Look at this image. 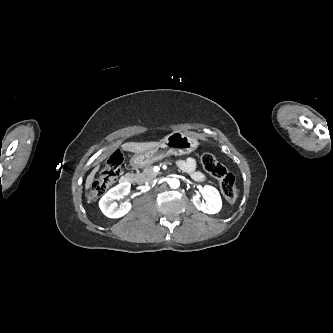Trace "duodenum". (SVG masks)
Segmentation results:
<instances>
[{"instance_id": "duodenum-1", "label": "duodenum", "mask_w": 333, "mask_h": 333, "mask_svg": "<svg viewBox=\"0 0 333 333\" xmlns=\"http://www.w3.org/2000/svg\"><path fill=\"white\" fill-rule=\"evenodd\" d=\"M134 180V175L132 173H127L120 178L121 183H131Z\"/></svg>"}]
</instances>
